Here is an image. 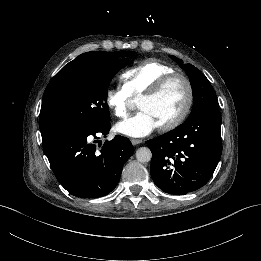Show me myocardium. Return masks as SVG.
Listing matches in <instances>:
<instances>
[{
    "instance_id": "obj_1",
    "label": "myocardium",
    "mask_w": 261,
    "mask_h": 261,
    "mask_svg": "<svg viewBox=\"0 0 261 261\" xmlns=\"http://www.w3.org/2000/svg\"><path fill=\"white\" fill-rule=\"evenodd\" d=\"M177 79H181L185 83L186 90H187V98L180 113L176 117L168 121L167 123L159 126V128L163 131H168L176 128L186 119V117L190 113L194 101V89L190 78L186 74L181 72L174 71L168 73L162 76L153 85L151 90L148 93L141 96L140 98V101H142V100H150L158 97L169 84H171L173 81Z\"/></svg>"
}]
</instances>
